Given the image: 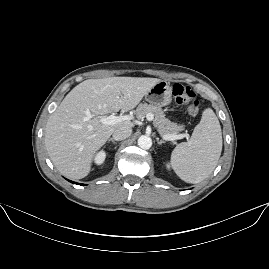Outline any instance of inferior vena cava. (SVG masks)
Listing matches in <instances>:
<instances>
[{
  "label": "inferior vena cava",
  "mask_w": 269,
  "mask_h": 269,
  "mask_svg": "<svg viewBox=\"0 0 269 269\" xmlns=\"http://www.w3.org/2000/svg\"><path fill=\"white\" fill-rule=\"evenodd\" d=\"M132 130L129 127H121L115 130L113 133V139L115 141H121L131 136Z\"/></svg>",
  "instance_id": "inferior-vena-cava-1"
}]
</instances>
